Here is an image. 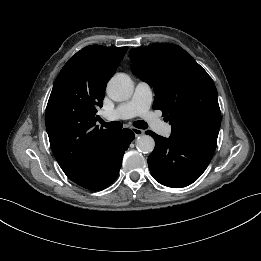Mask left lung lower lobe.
<instances>
[{
	"label": "left lung lower lobe",
	"instance_id": "0a47b994",
	"mask_svg": "<svg viewBox=\"0 0 261 261\" xmlns=\"http://www.w3.org/2000/svg\"><path fill=\"white\" fill-rule=\"evenodd\" d=\"M155 148L147 162L153 178L162 185L180 188L196 181L212 159L216 145L192 142L171 135L168 139L147 131Z\"/></svg>",
	"mask_w": 261,
	"mask_h": 261
}]
</instances>
